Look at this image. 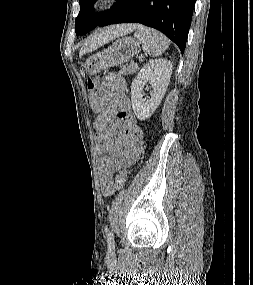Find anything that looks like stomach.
Returning <instances> with one entry per match:
<instances>
[{
    "label": "stomach",
    "instance_id": "obj_1",
    "mask_svg": "<svg viewBox=\"0 0 253 285\" xmlns=\"http://www.w3.org/2000/svg\"><path fill=\"white\" fill-rule=\"evenodd\" d=\"M140 43L132 37L118 39L107 49L85 60L83 69L89 75L130 61L139 51Z\"/></svg>",
    "mask_w": 253,
    "mask_h": 285
}]
</instances>
